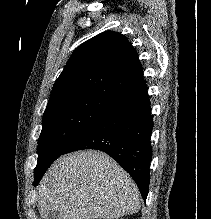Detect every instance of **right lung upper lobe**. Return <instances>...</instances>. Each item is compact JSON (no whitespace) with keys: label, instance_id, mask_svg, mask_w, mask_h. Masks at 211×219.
I'll return each mask as SVG.
<instances>
[{"label":"right lung upper lobe","instance_id":"right-lung-upper-lobe-1","mask_svg":"<svg viewBox=\"0 0 211 219\" xmlns=\"http://www.w3.org/2000/svg\"><path fill=\"white\" fill-rule=\"evenodd\" d=\"M147 89L138 54L128 39L106 31L81 44L56 80L48 106L95 97L119 105Z\"/></svg>","mask_w":211,"mask_h":219}]
</instances>
